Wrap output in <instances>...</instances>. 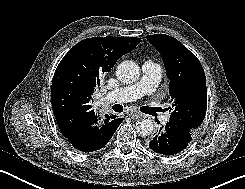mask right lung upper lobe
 Listing matches in <instances>:
<instances>
[{"mask_svg": "<svg viewBox=\"0 0 245 189\" xmlns=\"http://www.w3.org/2000/svg\"><path fill=\"white\" fill-rule=\"evenodd\" d=\"M140 42L137 37H93L77 43L56 68L52 87L53 113L63 136L86 130L93 123L92 94L100 77Z\"/></svg>", "mask_w": 245, "mask_h": 189, "instance_id": "obj_1", "label": "right lung upper lobe"}]
</instances>
